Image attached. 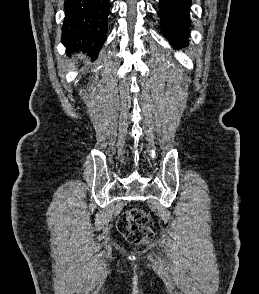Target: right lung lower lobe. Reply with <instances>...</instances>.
I'll list each match as a JSON object with an SVG mask.
<instances>
[{"instance_id": "1", "label": "right lung lower lobe", "mask_w": 259, "mask_h": 294, "mask_svg": "<svg viewBox=\"0 0 259 294\" xmlns=\"http://www.w3.org/2000/svg\"><path fill=\"white\" fill-rule=\"evenodd\" d=\"M62 43L72 52L81 50L92 58L107 35L109 0H65Z\"/></svg>"}]
</instances>
